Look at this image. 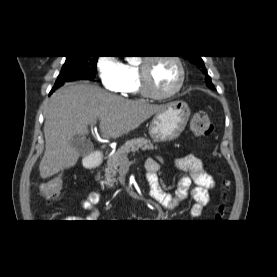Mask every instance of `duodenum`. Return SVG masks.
<instances>
[{
    "mask_svg": "<svg viewBox=\"0 0 277 277\" xmlns=\"http://www.w3.org/2000/svg\"><path fill=\"white\" fill-rule=\"evenodd\" d=\"M103 162V155L100 151H93L84 160V166L87 169H96L101 166Z\"/></svg>",
    "mask_w": 277,
    "mask_h": 277,
    "instance_id": "obj_1",
    "label": "duodenum"
}]
</instances>
